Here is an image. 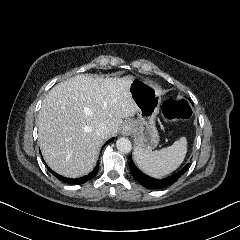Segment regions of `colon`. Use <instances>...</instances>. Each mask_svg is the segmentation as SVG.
I'll return each mask as SVG.
<instances>
[{"label": "colon", "mask_w": 240, "mask_h": 240, "mask_svg": "<svg viewBox=\"0 0 240 240\" xmlns=\"http://www.w3.org/2000/svg\"><path fill=\"white\" fill-rule=\"evenodd\" d=\"M163 116L169 121L187 120L192 115L191 105L187 100H171L162 108Z\"/></svg>", "instance_id": "1"}]
</instances>
